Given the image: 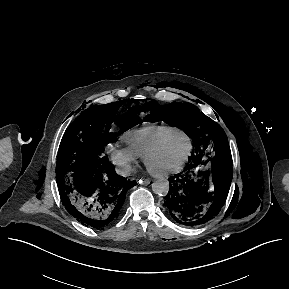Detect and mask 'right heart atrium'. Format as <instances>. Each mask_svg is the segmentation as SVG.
I'll return each mask as SVG.
<instances>
[{
    "mask_svg": "<svg viewBox=\"0 0 289 289\" xmlns=\"http://www.w3.org/2000/svg\"><path fill=\"white\" fill-rule=\"evenodd\" d=\"M109 161L121 175H128L137 162L135 156L127 147L116 143L108 154Z\"/></svg>",
    "mask_w": 289,
    "mask_h": 289,
    "instance_id": "right-heart-atrium-1",
    "label": "right heart atrium"
}]
</instances>
